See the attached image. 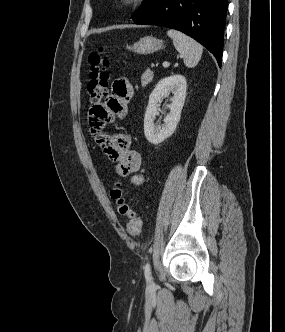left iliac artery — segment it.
<instances>
[{
	"label": "left iliac artery",
	"mask_w": 285,
	"mask_h": 332,
	"mask_svg": "<svg viewBox=\"0 0 285 332\" xmlns=\"http://www.w3.org/2000/svg\"><path fill=\"white\" fill-rule=\"evenodd\" d=\"M144 274H145V278L147 281H150L151 279V268H150V263L147 262L144 266Z\"/></svg>",
	"instance_id": "44dca946"
}]
</instances>
